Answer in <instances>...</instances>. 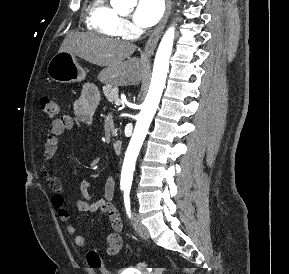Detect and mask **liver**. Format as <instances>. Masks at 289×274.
Segmentation results:
<instances>
[{
	"label": "liver",
	"mask_w": 289,
	"mask_h": 274,
	"mask_svg": "<svg viewBox=\"0 0 289 274\" xmlns=\"http://www.w3.org/2000/svg\"><path fill=\"white\" fill-rule=\"evenodd\" d=\"M136 45L94 33L70 32L59 52H69L92 64L105 67L98 78L110 85H136L141 80L140 60L130 56Z\"/></svg>",
	"instance_id": "6515ba94"
}]
</instances>
